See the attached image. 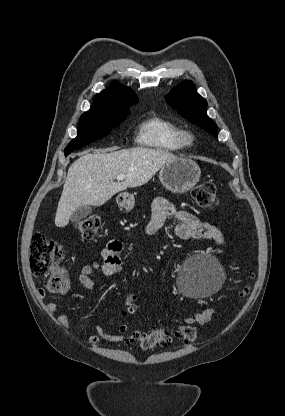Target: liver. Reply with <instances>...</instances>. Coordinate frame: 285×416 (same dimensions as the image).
<instances>
[{
	"label": "liver",
	"instance_id": "1",
	"mask_svg": "<svg viewBox=\"0 0 285 416\" xmlns=\"http://www.w3.org/2000/svg\"><path fill=\"white\" fill-rule=\"evenodd\" d=\"M89 152L68 170L55 216L57 228H65L77 208L103 206L117 192L144 186L164 164L178 160L166 150L150 148H129L110 154L106 150ZM118 174H126L125 182H114Z\"/></svg>",
	"mask_w": 285,
	"mask_h": 416
}]
</instances>
